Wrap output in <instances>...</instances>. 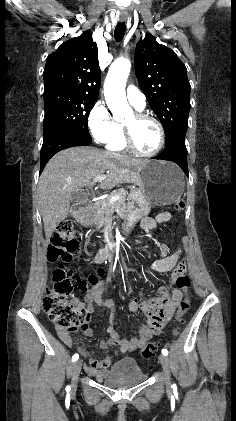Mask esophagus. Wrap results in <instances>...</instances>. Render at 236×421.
Listing matches in <instances>:
<instances>
[{"instance_id":"esophagus-1","label":"esophagus","mask_w":236,"mask_h":421,"mask_svg":"<svg viewBox=\"0 0 236 421\" xmlns=\"http://www.w3.org/2000/svg\"><path fill=\"white\" fill-rule=\"evenodd\" d=\"M121 22H125L127 20V16L121 15L120 17Z\"/></svg>"}]
</instances>
